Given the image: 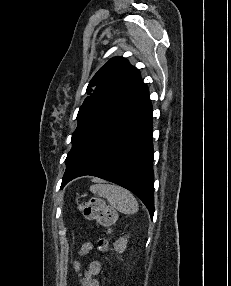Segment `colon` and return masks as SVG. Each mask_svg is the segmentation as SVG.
Listing matches in <instances>:
<instances>
[{
    "instance_id": "colon-1",
    "label": "colon",
    "mask_w": 231,
    "mask_h": 286,
    "mask_svg": "<svg viewBox=\"0 0 231 286\" xmlns=\"http://www.w3.org/2000/svg\"><path fill=\"white\" fill-rule=\"evenodd\" d=\"M80 211L88 220H92L105 227L106 232L110 233L112 226L117 221V212L105 203L101 198L93 197L80 205ZM109 247L108 238L103 237L98 241V248L106 252Z\"/></svg>"
}]
</instances>
